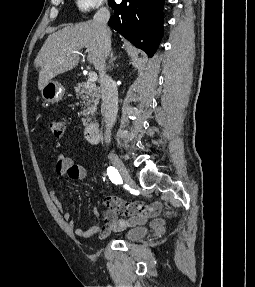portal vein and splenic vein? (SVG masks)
Returning a JSON list of instances; mask_svg holds the SVG:
<instances>
[{
	"label": "portal vein and splenic vein",
	"instance_id": "18ae733b",
	"mask_svg": "<svg viewBox=\"0 0 255 287\" xmlns=\"http://www.w3.org/2000/svg\"><path fill=\"white\" fill-rule=\"evenodd\" d=\"M72 54H79V52H72ZM60 62V60H59ZM89 76V80L88 82H97V74H95V72H90V74H88Z\"/></svg>",
	"mask_w": 255,
	"mask_h": 287
}]
</instances>
